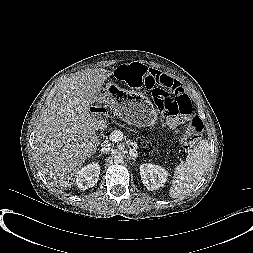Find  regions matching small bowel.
<instances>
[{"mask_svg":"<svg viewBox=\"0 0 253 253\" xmlns=\"http://www.w3.org/2000/svg\"><path fill=\"white\" fill-rule=\"evenodd\" d=\"M143 86L153 90L158 86L168 87V88H175L181 87V84L175 80L174 78L170 77L169 75L160 72L156 69L147 68V73L144 77ZM179 123L178 119H171L169 120L168 124L171 128H175Z\"/></svg>","mask_w":253,"mask_h":253,"instance_id":"c3829d8e","label":"small bowel"}]
</instances>
